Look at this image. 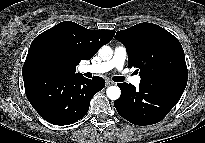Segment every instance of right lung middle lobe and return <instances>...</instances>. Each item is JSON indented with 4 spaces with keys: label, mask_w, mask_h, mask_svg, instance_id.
<instances>
[{
    "label": "right lung middle lobe",
    "mask_w": 205,
    "mask_h": 143,
    "mask_svg": "<svg viewBox=\"0 0 205 143\" xmlns=\"http://www.w3.org/2000/svg\"><path fill=\"white\" fill-rule=\"evenodd\" d=\"M32 65L44 66L67 72L71 56L69 51L55 40H44L33 46L29 52Z\"/></svg>",
    "instance_id": "1"
}]
</instances>
